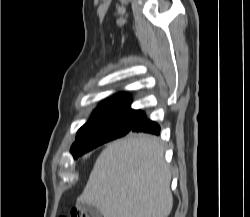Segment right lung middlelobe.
I'll return each instance as SVG.
<instances>
[{"mask_svg": "<svg viewBox=\"0 0 250 217\" xmlns=\"http://www.w3.org/2000/svg\"><path fill=\"white\" fill-rule=\"evenodd\" d=\"M139 114L140 111L130 108L93 114L77 132L76 141L71 147L74 158L129 133Z\"/></svg>", "mask_w": 250, "mask_h": 217, "instance_id": "1", "label": "right lung middle lobe"}]
</instances>
